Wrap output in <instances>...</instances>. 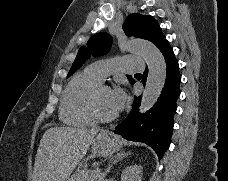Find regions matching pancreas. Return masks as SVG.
<instances>
[{
	"label": "pancreas",
	"instance_id": "pancreas-1",
	"mask_svg": "<svg viewBox=\"0 0 228 181\" xmlns=\"http://www.w3.org/2000/svg\"><path fill=\"white\" fill-rule=\"evenodd\" d=\"M100 173L98 171H88L83 167L81 171H76L69 181H98Z\"/></svg>",
	"mask_w": 228,
	"mask_h": 181
}]
</instances>
